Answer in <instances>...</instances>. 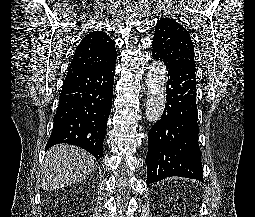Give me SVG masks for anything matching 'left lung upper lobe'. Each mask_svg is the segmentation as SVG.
Returning <instances> with one entry per match:
<instances>
[{"instance_id":"obj_1","label":"left lung upper lobe","mask_w":255,"mask_h":217,"mask_svg":"<svg viewBox=\"0 0 255 217\" xmlns=\"http://www.w3.org/2000/svg\"><path fill=\"white\" fill-rule=\"evenodd\" d=\"M152 48L173 64L195 72L194 45L190 34L174 19L162 18L157 22Z\"/></svg>"}]
</instances>
